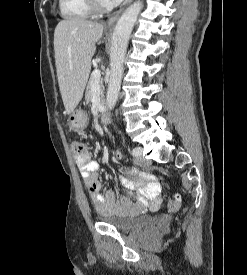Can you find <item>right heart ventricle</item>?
<instances>
[{
    "label": "right heart ventricle",
    "instance_id": "obj_1",
    "mask_svg": "<svg viewBox=\"0 0 247 275\" xmlns=\"http://www.w3.org/2000/svg\"><path fill=\"white\" fill-rule=\"evenodd\" d=\"M61 15L65 19H85L91 16L92 10L86 0H59Z\"/></svg>",
    "mask_w": 247,
    "mask_h": 275
}]
</instances>
